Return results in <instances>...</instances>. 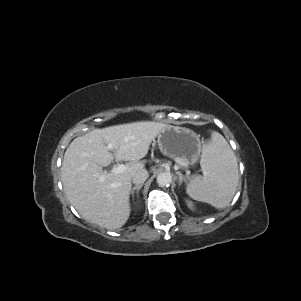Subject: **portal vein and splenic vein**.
<instances>
[{"instance_id": "18ae733b", "label": "portal vein and splenic vein", "mask_w": 301, "mask_h": 301, "mask_svg": "<svg viewBox=\"0 0 301 301\" xmlns=\"http://www.w3.org/2000/svg\"><path fill=\"white\" fill-rule=\"evenodd\" d=\"M112 148H113V146L111 144H109L108 145V149H112ZM126 169H127L126 165H124V164H118L115 167H113L112 173H114V174H120V173L125 172Z\"/></svg>"}]
</instances>
